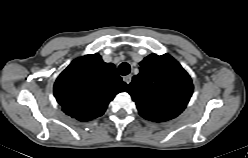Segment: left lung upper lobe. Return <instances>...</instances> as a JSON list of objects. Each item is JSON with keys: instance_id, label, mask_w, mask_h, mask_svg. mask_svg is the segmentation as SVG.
<instances>
[{"instance_id": "5c2ea615", "label": "left lung upper lobe", "mask_w": 248, "mask_h": 158, "mask_svg": "<svg viewBox=\"0 0 248 158\" xmlns=\"http://www.w3.org/2000/svg\"><path fill=\"white\" fill-rule=\"evenodd\" d=\"M127 92L145 119L162 122L177 117L193 92L188 73L170 55L150 54L140 62V73Z\"/></svg>"}]
</instances>
